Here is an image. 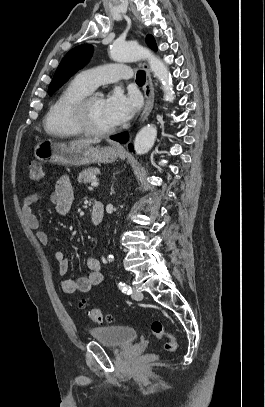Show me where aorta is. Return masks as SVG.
<instances>
[{"instance_id": "762f6f07", "label": "aorta", "mask_w": 265, "mask_h": 407, "mask_svg": "<svg viewBox=\"0 0 265 407\" xmlns=\"http://www.w3.org/2000/svg\"><path fill=\"white\" fill-rule=\"evenodd\" d=\"M110 58L117 62H134L147 59L150 70L158 78L166 101L175 98L173 82L167 66L152 52L135 42H114L110 47ZM157 128L154 125L144 126L136 135L134 149L137 154L147 153L155 143Z\"/></svg>"}]
</instances>
